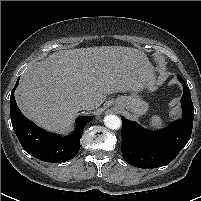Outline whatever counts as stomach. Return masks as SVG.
I'll use <instances>...</instances> for the list:
<instances>
[{
    "mask_svg": "<svg viewBox=\"0 0 201 201\" xmlns=\"http://www.w3.org/2000/svg\"><path fill=\"white\" fill-rule=\"evenodd\" d=\"M144 88L143 83H135L130 90L129 95L119 96L115 102L114 107L118 110H128L134 117L144 115L148 110V103L141 97V92Z\"/></svg>",
    "mask_w": 201,
    "mask_h": 201,
    "instance_id": "1",
    "label": "stomach"
}]
</instances>
